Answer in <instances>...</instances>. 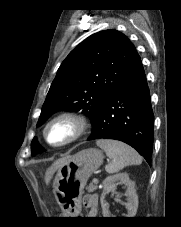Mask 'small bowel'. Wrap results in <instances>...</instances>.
Returning <instances> with one entry per match:
<instances>
[{"label": "small bowel", "instance_id": "small-bowel-1", "mask_svg": "<svg viewBox=\"0 0 181 227\" xmlns=\"http://www.w3.org/2000/svg\"><path fill=\"white\" fill-rule=\"evenodd\" d=\"M83 203L89 209L88 215L96 217L98 214V196L96 194H87L83 199Z\"/></svg>", "mask_w": 181, "mask_h": 227}]
</instances>
